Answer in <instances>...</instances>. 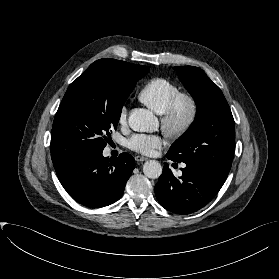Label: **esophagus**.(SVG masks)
<instances>
[{"label":"esophagus","instance_id":"1","mask_svg":"<svg viewBox=\"0 0 279 279\" xmlns=\"http://www.w3.org/2000/svg\"><path fill=\"white\" fill-rule=\"evenodd\" d=\"M135 160L137 162H143V161H146L147 158L146 157H143V156H135Z\"/></svg>","mask_w":279,"mask_h":279}]
</instances>
